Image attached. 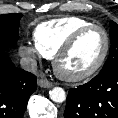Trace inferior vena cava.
Instances as JSON below:
<instances>
[{
	"mask_svg": "<svg viewBox=\"0 0 118 118\" xmlns=\"http://www.w3.org/2000/svg\"><path fill=\"white\" fill-rule=\"evenodd\" d=\"M20 65L26 71H29L32 73L37 71V62L33 58H30V57L21 58Z\"/></svg>",
	"mask_w": 118,
	"mask_h": 118,
	"instance_id": "obj_1",
	"label": "inferior vena cava"
}]
</instances>
